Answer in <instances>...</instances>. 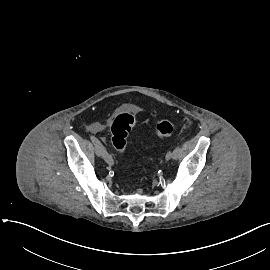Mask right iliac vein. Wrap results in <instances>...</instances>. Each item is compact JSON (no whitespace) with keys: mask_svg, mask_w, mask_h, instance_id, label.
I'll list each match as a JSON object with an SVG mask.
<instances>
[{"mask_svg":"<svg viewBox=\"0 0 270 270\" xmlns=\"http://www.w3.org/2000/svg\"><path fill=\"white\" fill-rule=\"evenodd\" d=\"M94 150H95V154H96L98 157L102 156L100 150H99L96 146H95Z\"/></svg>","mask_w":270,"mask_h":270,"instance_id":"obj_1","label":"right iliac vein"}]
</instances>
